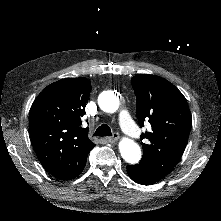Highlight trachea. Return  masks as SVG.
Returning <instances> with one entry per match:
<instances>
[{"label":"trachea","mask_w":221,"mask_h":221,"mask_svg":"<svg viewBox=\"0 0 221 221\" xmlns=\"http://www.w3.org/2000/svg\"><path fill=\"white\" fill-rule=\"evenodd\" d=\"M94 136H99V137H104V136H111V129L107 124H102L99 126L95 133L93 134Z\"/></svg>","instance_id":"1"}]
</instances>
